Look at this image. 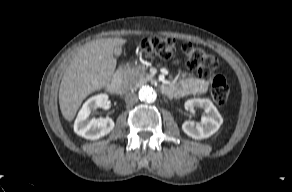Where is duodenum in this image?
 Listing matches in <instances>:
<instances>
[{"instance_id":"410a0bca","label":"duodenum","mask_w":292,"mask_h":192,"mask_svg":"<svg viewBox=\"0 0 292 192\" xmlns=\"http://www.w3.org/2000/svg\"><path fill=\"white\" fill-rule=\"evenodd\" d=\"M166 86L163 87V90H165ZM108 90L111 93L117 94L120 92L121 90V77L119 73H116L113 77V79L111 80V82L108 85Z\"/></svg>"}]
</instances>
